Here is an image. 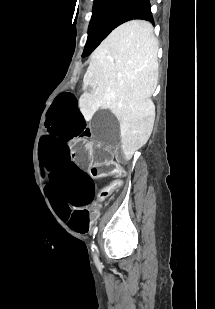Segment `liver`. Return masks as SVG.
<instances>
[{
    "mask_svg": "<svg viewBox=\"0 0 215 309\" xmlns=\"http://www.w3.org/2000/svg\"><path fill=\"white\" fill-rule=\"evenodd\" d=\"M158 40L148 20L114 28L91 54L79 106L86 120L97 108H110L119 120L126 161L147 142L155 120L150 98L158 76Z\"/></svg>",
    "mask_w": 215,
    "mask_h": 309,
    "instance_id": "obj_1",
    "label": "liver"
}]
</instances>
